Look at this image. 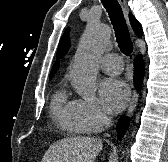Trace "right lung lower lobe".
Returning a JSON list of instances; mask_svg holds the SVG:
<instances>
[{"instance_id": "98d812e1", "label": "right lung lower lobe", "mask_w": 168, "mask_h": 162, "mask_svg": "<svg viewBox=\"0 0 168 162\" xmlns=\"http://www.w3.org/2000/svg\"><path fill=\"white\" fill-rule=\"evenodd\" d=\"M144 77V63L140 56L135 59L134 64V83L137 90H140ZM128 127V120L125 116L121 117L117 124L118 139L121 140Z\"/></svg>"}]
</instances>
